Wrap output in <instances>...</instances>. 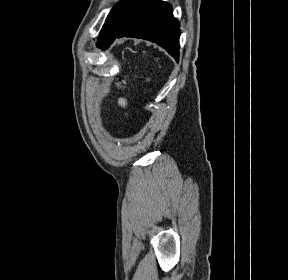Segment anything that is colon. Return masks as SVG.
Returning a JSON list of instances; mask_svg holds the SVG:
<instances>
[{
	"label": "colon",
	"instance_id": "5ec220e1",
	"mask_svg": "<svg viewBox=\"0 0 288 280\" xmlns=\"http://www.w3.org/2000/svg\"><path fill=\"white\" fill-rule=\"evenodd\" d=\"M116 88L119 90V91H122L124 88H125V80L123 78H118L117 81H116ZM118 103L119 105L124 108V109H127L128 107V100L127 98L125 97H120L119 100H118Z\"/></svg>",
	"mask_w": 288,
	"mask_h": 280
}]
</instances>
